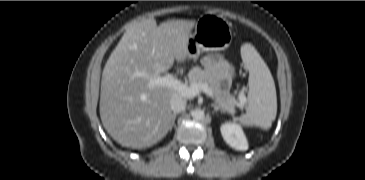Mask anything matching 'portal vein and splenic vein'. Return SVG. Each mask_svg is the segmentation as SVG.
<instances>
[{"label": "portal vein and splenic vein", "instance_id": "obj_1", "mask_svg": "<svg viewBox=\"0 0 365 180\" xmlns=\"http://www.w3.org/2000/svg\"><path fill=\"white\" fill-rule=\"evenodd\" d=\"M149 86L151 88L155 86H164L172 88L179 92L182 96L187 98H193L198 95L201 91L207 96H213V92L206 83H192L189 86L182 83L180 80L172 76L171 74H166L164 76L151 77L149 79ZM242 100L244 96H241ZM233 113V112H232Z\"/></svg>", "mask_w": 365, "mask_h": 180}]
</instances>
